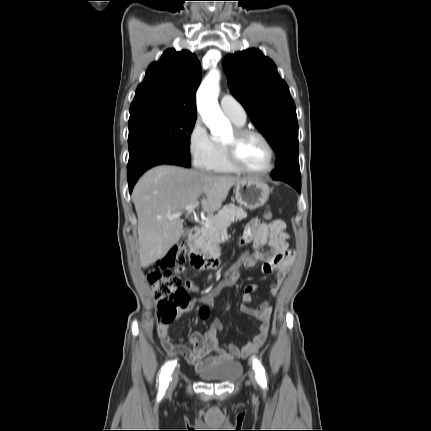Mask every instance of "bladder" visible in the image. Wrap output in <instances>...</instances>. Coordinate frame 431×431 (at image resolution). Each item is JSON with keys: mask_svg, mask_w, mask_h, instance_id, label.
I'll return each mask as SVG.
<instances>
[{"mask_svg": "<svg viewBox=\"0 0 431 431\" xmlns=\"http://www.w3.org/2000/svg\"><path fill=\"white\" fill-rule=\"evenodd\" d=\"M240 373L241 365L231 361L199 371L198 375L206 382L225 383L237 379Z\"/></svg>", "mask_w": 431, "mask_h": 431, "instance_id": "1", "label": "bladder"}]
</instances>
